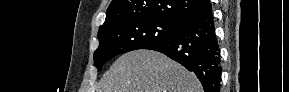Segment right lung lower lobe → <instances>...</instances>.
<instances>
[{
  "label": "right lung lower lobe",
  "mask_w": 289,
  "mask_h": 92,
  "mask_svg": "<svg viewBox=\"0 0 289 92\" xmlns=\"http://www.w3.org/2000/svg\"><path fill=\"white\" fill-rule=\"evenodd\" d=\"M211 10L182 21L172 37L144 49L159 51L193 71L204 92H219L220 50Z\"/></svg>",
  "instance_id": "98d812e1"
}]
</instances>
